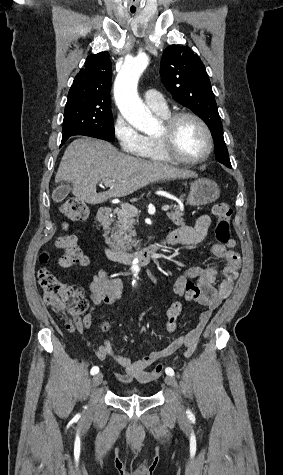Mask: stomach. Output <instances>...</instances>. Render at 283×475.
<instances>
[{
  "instance_id": "0dacf381",
  "label": "stomach",
  "mask_w": 283,
  "mask_h": 475,
  "mask_svg": "<svg viewBox=\"0 0 283 475\" xmlns=\"http://www.w3.org/2000/svg\"><path fill=\"white\" fill-rule=\"evenodd\" d=\"M219 196L220 190L215 182L207 180V178H200L190 184L187 204L189 206H205V204H211L218 200Z\"/></svg>"
}]
</instances>
